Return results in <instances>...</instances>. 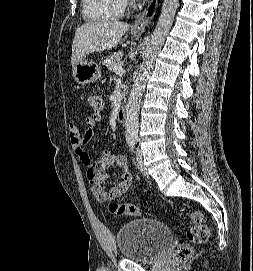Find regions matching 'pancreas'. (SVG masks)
I'll use <instances>...</instances> for the list:
<instances>
[{
	"label": "pancreas",
	"instance_id": "cf45deb5",
	"mask_svg": "<svg viewBox=\"0 0 253 271\" xmlns=\"http://www.w3.org/2000/svg\"><path fill=\"white\" fill-rule=\"evenodd\" d=\"M122 56L123 54L121 51L114 52L113 54L109 55L102 64L109 70L115 72V67H121L123 65Z\"/></svg>",
	"mask_w": 253,
	"mask_h": 271
}]
</instances>
